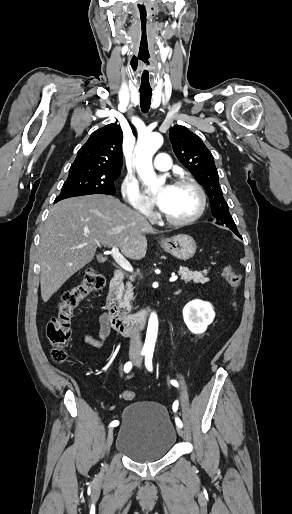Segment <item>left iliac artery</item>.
<instances>
[{
	"label": "left iliac artery",
	"mask_w": 292,
	"mask_h": 514,
	"mask_svg": "<svg viewBox=\"0 0 292 514\" xmlns=\"http://www.w3.org/2000/svg\"><path fill=\"white\" fill-rule=\"evenodd\" d=\"M152 358H153V353L152 352H148L146 353V356H145V366L147 368L148 371L152 372L153 371V366H152ZM170 383L175 386V387H178L179 384L176 380H171ZM173 411L174 413H176L177 409H178V401H175L173 403ZM175 423L178 427L182 428L183 427V424H182V421L178 418V417H175Z\"/></svg>",
	"instance_id": "1"
}]
</instances>
